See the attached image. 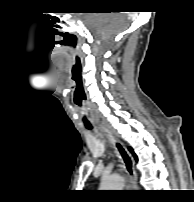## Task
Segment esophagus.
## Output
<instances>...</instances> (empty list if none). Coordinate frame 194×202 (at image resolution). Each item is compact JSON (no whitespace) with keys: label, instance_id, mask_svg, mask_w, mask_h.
<instances>
[{"label":"esophagus","instance_id":"34e87169","mask_svg":"<svg viewBox=\"0 0 194 202\" xmlns=\"http://www.w3.org/2000/svg\"><path fill=\"white\" fill-rule=\"evenodd\" d=\"M104 131L120 156L129 179L130 187H137V173L132 156L124 144L119 139H117L110 130L104 128Z\"/></svg>","mask_w":194,"mask_h":202}]
</instances>
